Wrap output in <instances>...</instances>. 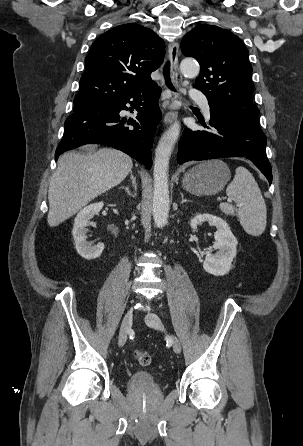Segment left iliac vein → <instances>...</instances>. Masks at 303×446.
Wrapping results in <instances>:
<instances>
[{"label": "left iliac vein", "instance_id": "obj_1", "mask_svg": "<svg viewBox=\"0 0 303 446\" xmlns=\"http://www.w3.org/2000/svg\"><path fill=\"white\" fill-rule=\"evenodd\" d=\"M145 322L149 327H152V328H155L158 330H162V331L165 330L161 319L159 318L158 315H156L154 313H148L145 317ZM170 340H171L174 352L176 354H179L181 352V344H180L178 338L174 335H170Z\"/></svg>", "mask_w": 303, "mask_h": 446}]
</instances>
